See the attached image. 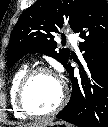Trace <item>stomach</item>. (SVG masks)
<instances>
[{
  "instance_id": "stomach-1",
  "label": "stomach",
  "mask_w": 108,
  "mask_h": 127,
  "mask_svg": "<svg viewBox=\"0 0 108 127\" xmlns=\"http://www.w3.org/2000/svg\"><path fill=\"white\" fill-rule=\"evenodd\" d=\"M44 127H73V126L65 121H52Z\"/></svg>"
}]
</instances>
